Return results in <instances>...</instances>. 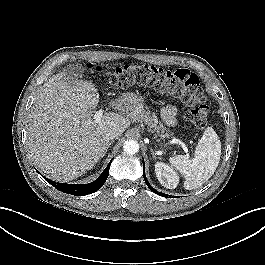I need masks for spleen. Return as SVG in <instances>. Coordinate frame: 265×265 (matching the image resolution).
<instances>
[{
	"instance_id": "spleen-1",
	"label": "spleen",
	"mask_w": 265,
	"mask_h": 265,
	"mask_svg": "<svg viewBox=\"0 0 265 265\" xmlns=\"http://www.w3.org/2000/svg\"><path fill=\"white\" fill-rule=\"evenodd\" d=\"M221 156V142L213 128L208 127L198 142L194 157L176 155L169 159L172 167L185 178L184 187L192 190L208 181L218 167Z\"/></svg>"
}]
</instances>
